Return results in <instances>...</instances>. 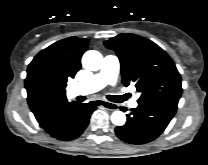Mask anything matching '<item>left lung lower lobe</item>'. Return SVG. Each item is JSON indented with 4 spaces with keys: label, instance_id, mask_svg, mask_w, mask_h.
I'll return each mask as SVG.
<instances>
[{
    "label": "left lung lower lobe",
    "instance_id": "obj_1",
    "mask_svg": "<svg viewBox=\"0 0 208 165\" xmlns=\"http://www.w3.org/2000/svg\"><path fill=\"white\" fill-rule=\"evenodd\" d=\"M176 110L177 104L172 102L139 104L127 114V123L116 127V135L131 144L151 142L165 130Z\"/></svg>",
    "mask_w": 208,
    "mask_h": 165
}]
</instances>
